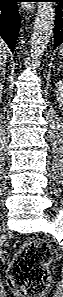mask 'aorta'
<instances>
[{
	"label": "aorta",
	"mask_w": 63,
	"mask_h": 297,
	"mask_svg": "<svg viewBox=\"0 0 63 297\" xmlns=\"http://www.w3.org/2000/svg\"><path fill=\"white\" fill-rule=\"evenodd\" d=\"M55 26V8L51 2L38 4L36 18L31 36L30 56L34 64H38L50 41Z\"/></svg>",
	"instance_id": "obj_1"
}]
</instances>
